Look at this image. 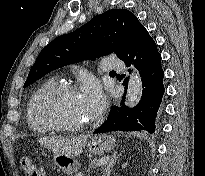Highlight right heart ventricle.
Segmentation results:
<instances>
[{
  "label": "right heart ventricle",
  "mask_w": 205,
  "mask_h": 176,
  "mask_svg": "<svg viewBox=\"0 0 205 176\" xmlns=\"http://www.w3.org/2000/svg\"><path fill=\"white\" fill-rule=\"evenodd\" d=\"M57 83L56 78H49L41 83L32 93L26 105V120L31 131L41 134L51 130L47 125L40 123L35 116V105L40 95Z\"/></svg>",
  "instance_id": "e07e8e85"
}]
</instances>
